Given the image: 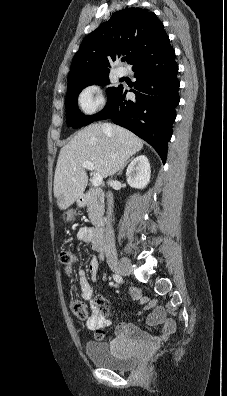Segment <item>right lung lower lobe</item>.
<instances>
[{"label":"right lung lower lobe","instance_id":"1","mask_svg":"<svg viewBox=\"0 0 227 396\" xmlns=\"http://www.w3.org/2000/svg\"><path fill=\"white\" fill-rule=\"evenodd\" d=\"M137 78L135 101H126L122 86L94 121H112L147 141L166 161L167 143L171 139L175 108L179 103L178 66L170 41L141 55L132 64Z\"/></svg>","mask_w":227,"mask_h":396}]
</instances>
